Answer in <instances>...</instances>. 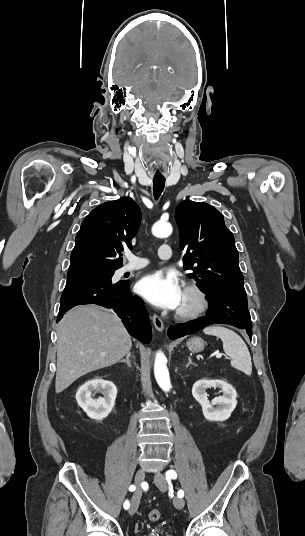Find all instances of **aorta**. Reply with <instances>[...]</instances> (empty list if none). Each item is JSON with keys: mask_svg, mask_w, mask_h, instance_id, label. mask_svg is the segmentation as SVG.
<instances>
[{"mask_svg": "<svg viewBox=\"0 0 305 536\" xmlns=\"http://www.w3.org/2000/svg\"><path fill=\"white\" fill-rule=\"evenodd\" d=\"M172 233V226L167 222H156L152 227V234L155 237H168ZM154 375L160 388L164 392H169L171 389V381L167 368V358L163 352L159 351L156 354L154 362Z\"/></svg>", "mask_w": 305, "mask_h": 536, "instance_id": "762f6f07", "label": "aorta"}]
</instances>
